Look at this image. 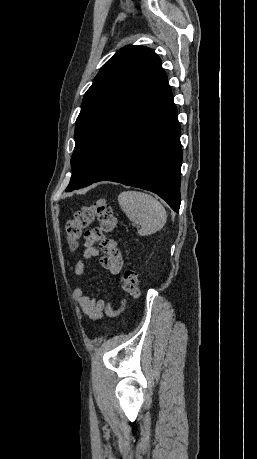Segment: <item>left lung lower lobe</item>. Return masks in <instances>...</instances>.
Segmentation results:
<instances>
[{"instance_id": "1", "label": "left lung lower lobe", "mask_w": 257, "mask_h": 459, "mask_svg": "<svg viewBox=\"0 0 257 459\" xmlns=\"http://www.w3.org/2000/svg\"><path fill=\"white\" fill-rule=\"evenodd\" d=\"M180 133L173 95L161 68L113 128L103 166L92 183L113 181L152 191L178 212Z\"/></svg>"}]
</instances>
